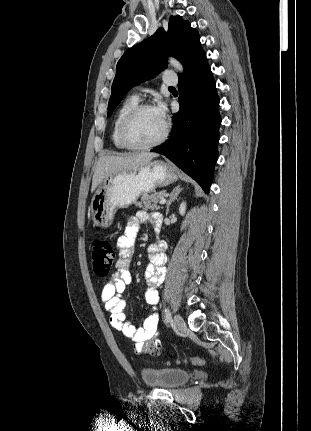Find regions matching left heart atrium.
<instances>
[{
	"label": "left heart atrium",
	"instance_id": "obj_1",
	"mask_svg": "<svg viewBox=\"0 0 311 431\" xmlns=\"http://www.w3.org/2000/svg\"><path fill=\"white\" fill-rule=\"evenodd\" d=\"M153 109L157 113L159 118L165 122L166 114H167V108H166L165 104L163 103V101L158 100L156 102V104L154 105Z\"/></svg>",
	"mask_w": 311,
	"mask_h": 431
}]
</instances>
